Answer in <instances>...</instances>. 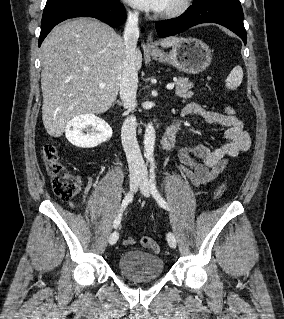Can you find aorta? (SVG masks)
Masks as SVG:
<instances>
[{"label": "aorta", "instance_id": "1", "mask_svg": "<svg viewBox=\"0 0 284 319\" xmlns=\"http://www.w3.org/2000/svg\"><path fill=\"white\" fill-rule=\"evenodd\" d=\"M155 145V128L152 122L148 123L144 134V156L147 159H152Z\"/></svg>", "mask_w": 284, "mask_h": 319}]
</instances>
